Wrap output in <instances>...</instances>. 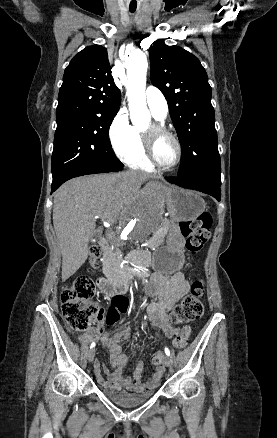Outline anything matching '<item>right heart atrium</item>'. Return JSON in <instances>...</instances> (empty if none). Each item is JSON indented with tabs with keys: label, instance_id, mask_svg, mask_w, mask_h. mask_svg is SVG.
<instances>
[{
	"label": "right heart atrium",
	"instance_id": "1",
	"mask_svg": "<svg viewBox=\"0 0 277 438\" xmlns=\"http://www.w3.org/2000/svg\"><path fill=\"white\" fill-rule=\"evenodd\" d=\"M111 143L120 156L129 154L135 145L134 128L129 124L127 114L119 111L109 129Z\"/></svg>",
	"mask_w": 277,
	"mask_h": 438
}]
</instances>
